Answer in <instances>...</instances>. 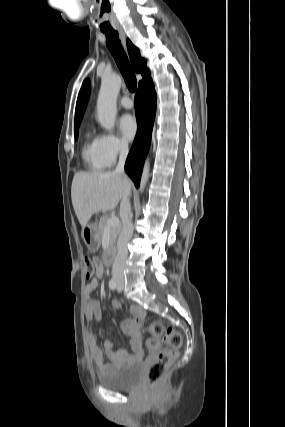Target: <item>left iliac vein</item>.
<instances>
[{
  "label": "left iliac vein",
  "mask_w": 285,
  "mask_h": 427,
  "mask_svg": "<svg viewBox=\"0 0 285 427\" xmlns=\"http://www.w3.org/2000/svg\"><path fill=\"white\" fill-rule=\"evenodd\" d=\"M123 287H124V281L123 280H119L118 283H117V291L121 292L122 289H123Z\"/></svg>",
  "instance_id": "4c4485c4"
}]
</instances>
